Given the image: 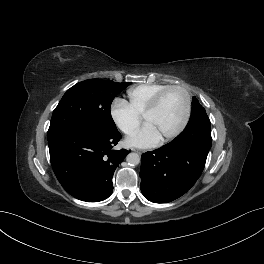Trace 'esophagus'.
Segmentation results:
<instances>
[{
    "mask_svg": "<svg viewBox=\"0 0 264 264\" xmlns=\"http://www.w3.org/2000/svg\"><path fill=\"white\" fill-rule=\"evenodd\" d=\"M133 151H135V152H137V153H139V154H142V153H143V151H141V150H137V149H133Z\"/></svg>",
    "mask_w": 264,
    "mask_h": 264,
    "instance_id": "1",
    "label": "esophagus"
}]
</instances>
